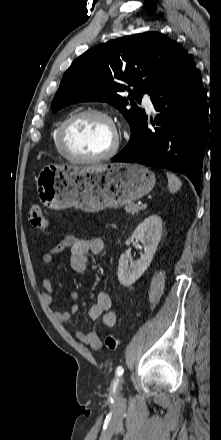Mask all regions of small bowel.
Listing matches in <instances>:
<instances>
[{
    "instance_id": "1",
    "label": "small bowel",
    "mask_w": 221,
    "mask_h": 440,
    "mask_svg": "<svg viewBox=\"0 0 221 440\" xmlns=\"http://www.w3.org/2000/svg\"><path fill=\"white\" fill-rule=\"evenodd\" d=\"M70 248V266L76 273H84L88 264V253L91 252L95 255H101L105 250V241L100 237L86 239L76 235H66L53 249L45 252L42 256V263L46 266L53 263L54 256L65 249ZM42 295L45 302L48 305L53 303V284L49 277H44L42 280ZM73 301H77L79 298L78 292L74 291L70 295ZM112 301L107 291H101L98 293L95 303L89 308L87 312V318L90 321L99 322L101 325L112 328L116 324L117 316L114 311L111 310ZM78 311V306L73 304L66 311L55 312V318L61 322H67ZM76 337L79 341L89 345L93 349H99L102 346L101 339L96 330L89 332H77Z\"/></svg>"
}]
</instances>
